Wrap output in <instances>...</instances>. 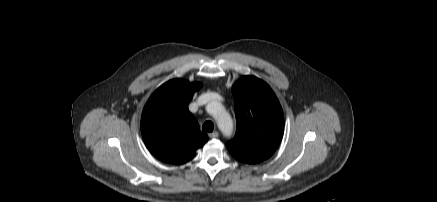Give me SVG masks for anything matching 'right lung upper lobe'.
<instances>
[{
  "label": "right lung upper lobe",
  "instance_id": "1",
  "mask_svg": "<svg viewBox=\"0 0 437 202\" xmlns=\"http://www.w3.org/2000/svg\"><path fill=\"white\" fill-rule=\"evenodd\" d=\"M201 84L172 79L149 98L141 117V133L150 152L159 160L182 164L191 160L207 141V134L188 109Z\"/></svg>",
  "mask_w": 437,
  "mask_h": 202
}]
</instances>
